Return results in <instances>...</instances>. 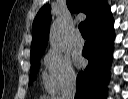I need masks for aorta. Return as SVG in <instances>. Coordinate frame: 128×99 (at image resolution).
<instances>
[{
    "mask_svg": "<svg viewBox=\"0 0 128 99\" xmlns=\"http://www.w3.org/2000/svg\"><path fill=\"white\" fill-rule=\"evenodd\" d=\"M50 45L53 49L59 51H63L66 48V40L59 21H55L51 26Z\"/></svg>",
    "mask_w": 128,
    "mask_h": 99,
    "instance_id": "aorta-1",
    "label": "aorta"
}]
</instances>
